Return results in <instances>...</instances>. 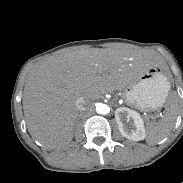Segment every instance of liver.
Returning <instances> with one entry per match:
<instances>
[{
  "mask_svg": "<svg viewBox=\"0 0 183 183\" xmlns=\"http://www.w3.org/2000/svg\"><path fill=\"white\" fill-rule=\"evenodd\" d=\"M152 65L141 52L111 48L77 49L37 62L26 78L22 101L30 135L48 149L68 145L79 97L89 105L105 93L123 91Z\"/></svg>",
  "mask_w": 183,
  "mask_h": 183,
  "instance_id": "1",
  "label": "liver"
}]
</instances>
